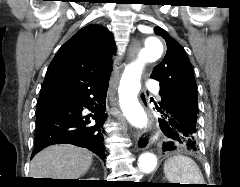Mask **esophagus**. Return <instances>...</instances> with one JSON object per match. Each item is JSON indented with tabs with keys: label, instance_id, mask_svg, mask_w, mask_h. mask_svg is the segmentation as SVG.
<instances>
[{
	"label": "esophagus",
	"instance_id": "esophagus-1",
	"mask_svg": "<svg viewBox=\"0 0 240 187\" xmlns=\"http://www.w3.org/2000/svg\"><path fill=\"white\" fill-rule=\"evenodd\" d=\"M140 51V44L137 40L131 39L128 50H127V59L133 61L137 58ZM142 134L138 133L135 138V147L138 150H144L148 148L149 142L147 139L141 136Z\"/></svg>",
	"mask_w": 240,
	"mask_h": 187
}]
</instances>
